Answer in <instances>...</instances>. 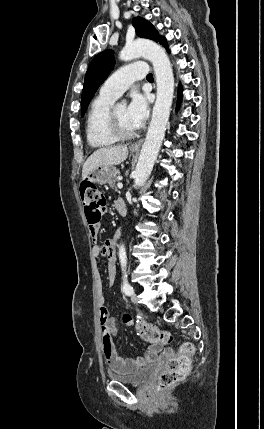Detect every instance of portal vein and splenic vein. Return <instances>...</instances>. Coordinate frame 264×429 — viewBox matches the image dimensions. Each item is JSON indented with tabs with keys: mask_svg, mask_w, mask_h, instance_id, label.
Masks as SVG:
<instances>
[{
	"mask_svg": "<svg viewBox=\"0 0 264 429\" xmlns=\"http://www.w3.org/2000/svg\"><path fill=\"white\" fill-rule=\"evenodd\" d=\"M117 187L121 189V188L123 187V184L119 182V183L117 184Z\"/></svg>",
	"mask_w": 264,
	"mask_h": 429,
	"instance_id": "1",
	"label": "portal vein and splenic vein"
}]
</instances>
